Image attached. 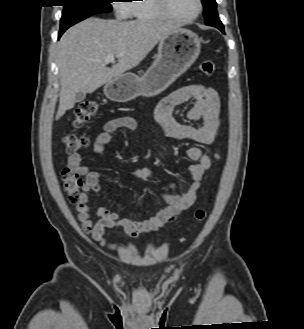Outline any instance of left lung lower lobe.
I'll return each instance as SVG.
<instances>
[{
  "mask_svg": "<svg viewBox=\"0 0 304 329\" xmlns=\"http://www.w3.org/2000/svg\"><path fill=\"white\" fill-rule=\"evenodd\" d=\"M205 24L209 25V26L216 27L219 30H221L222 33H224V26H223L222 22L220 21V19L218 17L217 11L211 13V15L205 21Z\"/></svg>",
  "mask_w": 304,
  "mask_h": 329,
  "instance_id": "0a47b994",
  "label": "left lung lower lobe"
}]
</instances>
